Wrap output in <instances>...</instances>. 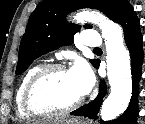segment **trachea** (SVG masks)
<instances>
[{
  "label": "trachea",
  "mask_w": 145,
  "mask_h": 124,
  "mask_svg": "<svg viewBox=\"0 0 145 124\" xmlns=\"http://www.w3.org/2000/svg\"><path fill=\"white\" fill-rule=\"evenodd\" d=\"M94 50H101L100 48H94Z\"/></svg>",
  "instance_id": "3493384b"
}]
</instances>
